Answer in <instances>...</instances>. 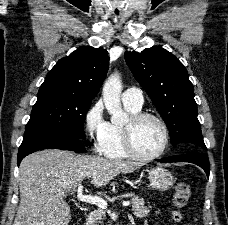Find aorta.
<instances>
[{"mask_svg":"<svg viewBox=\"0 0 228 225\" xmlns=\"http://www.w3.org/2000/svg\"><path fill=\"white\" fill-rule=\"evenodd\" d=\"M122 82L118 72L111 74L103 86V100L106 110H108L112 125H125L129 117L121 106L120 94Z\"/></svg>","mask_w":228,"mask_h":225,"instance_id":"1","label":"aorta"}]
</instances>
